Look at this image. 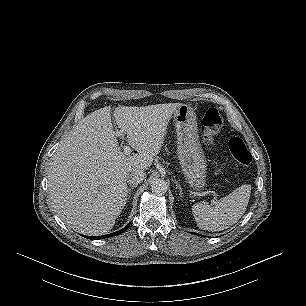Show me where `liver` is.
Listing matches in <instances>:
<instances>
[{
    "label": "liver",
    "instance_id": "obj_1",
    "mask_svg": "<svg viewBox=\"0 0 306 306\" xmlns=\"http://www.w3.org/2000/svg\"><path fill=\"white\" fill-rule=\"evenodd\" d=\"M181 105L115 108V122L137 152L133 155H125L118 146L109 106L87 115L70 131L53 155L48 172L50 200L68 227L87 235L112 229L126 205L128 174L152 165L170 118Z\"/></svg>",
    "mask_w": 306,
    "mask_h": 306
}]
</instances>
